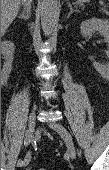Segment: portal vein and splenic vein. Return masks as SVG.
Instances as JSON below:
<instances>
[{"label": "portal vein and splenic vein", "mask_w": 109, "mask_h": 170, "mask_svg": "<svg viewBox=\"0 0 109 170\" xmlns=\"http://www.w3.org/2000/svg\"><path fill=\"white\" fill-rule=\"evenodd\" d=\"M83 2H86V1H88V0H82Z\"/></svg>", "instance_id": "portal-vein-and-splenic-vein-1"}]
</instances>
